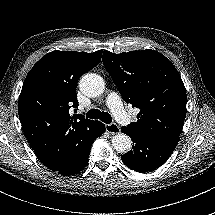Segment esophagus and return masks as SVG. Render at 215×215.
<instances>
[{
  "mask_svg": "<svg viewBox=\"0 0 215 215\" xmlns=\"http://www.w3.org/2000/svg\"><path fill=\"white\" fill-rule=\"evenodd\" d=\"M106 131L110 134H119L121 132L120 127L116 123H110L105 125Z\"/></svg>",
  "mask_w": 215,
  "mask_h": 215,
  "instance_id": "34e87169",
  "label": "esophagus"
}]
</instances>
